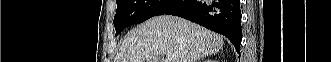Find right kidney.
<instances>
[{"mask_svg": "<svg viewBox=\"0 0 331 62\" xmlns=\"http://www.w3.org/2000/svg\"><path fill=\"white\" fill-rule=\"evenodd\" d=\"M207 62H214V60H208Z\"/></svg>", "mask_w": 331, "mask_h": 62, "instance_id": "1", "label": "right kidney"}]
</instances>
